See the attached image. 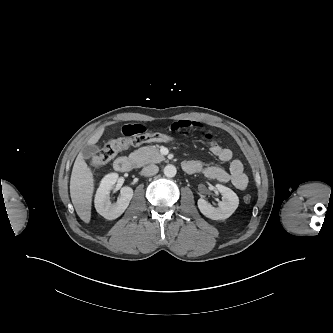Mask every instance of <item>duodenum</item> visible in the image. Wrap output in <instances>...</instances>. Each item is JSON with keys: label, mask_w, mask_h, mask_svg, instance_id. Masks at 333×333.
Returning <instances> with one entry per match:
<instances>
[{"label": "duodenum", "mask_w": 333, "mask_h": 333, "mask_svg": "<svg viewBox=\"0 0 333 333\" xmlns=\"http://www.w3.org/2000/svg\"><path fill=\"white\" fill-rule=\"evenodd\" d=\"M135 165V161L128 157H119L114 162V168L121 173L129 172Z\"/></svg>", "instance_id": "obj_1"}]
</instances>
